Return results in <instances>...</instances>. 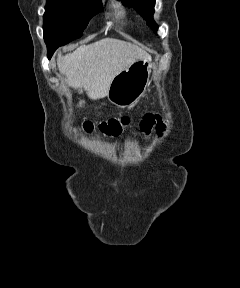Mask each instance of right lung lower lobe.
<instances>
[{
  "instance_id": "right-lung-lower-lobe-1",
  "label": "right lung lower lobe",
  "mask_w": 240,
  "mask_h": 288,
  "mask_svg": "<svg viewBox=\"0 0 240 288\" xmlns=\"http://www.w3.org/2000/svg\"><path fill=\"white\" fill-rule=\"evenodd\" d=\"M54 51H55V50H49V49H48V58H49V59H50L51 56L53 55Z\"/></svg>"
}]
</instances>
